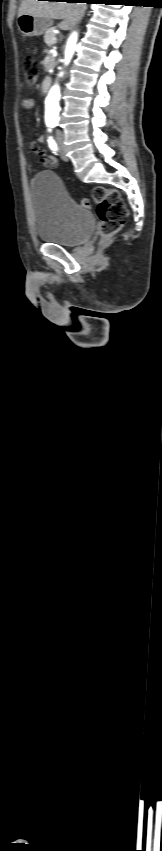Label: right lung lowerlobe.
Returning <instances> with one entry per match:
<instances>
[{"instance_id": "obj_1", "label": "right lung lower lobe", "mask_w": 162, "mask_h": 851, "mask_svg": "<svg viewBox=\"0 0 162 851\" xmlns=\"http://www.w3.org/2000/svg\"><path fill=\"white\" fill-rule=\"evenodd\" d=\"M49 1H60V0H49ZM64 1H66V2H76V3H78V2H85V3H87V4L97 3V2H98L97 0H64Z\"/></svg>"}]
</instances>
